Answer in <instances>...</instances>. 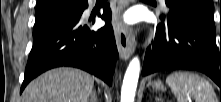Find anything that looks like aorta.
Wrapping results in <instances>:
<instances>
[{
	"mask_svg": "<svg viewBox=\"0 0 221 102\" xmlns=\"http://www.w3.org/2000/svg\"><path fill=\"white\" fill-rule=\"evenodd\" d=\"M140 73V61L134 57L126 70L121 89V102H134Z\"/></svg>",
	"mask_w": 221,
	"mask_h": 102,
	"instance_id": "obj_1",
	"label": "aorta"
}]
</instances>
